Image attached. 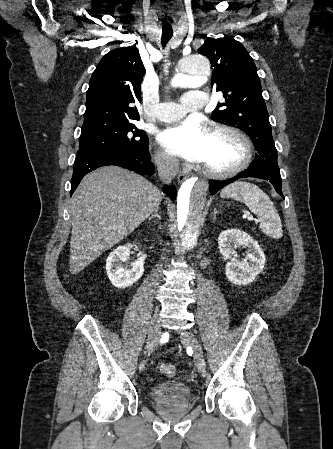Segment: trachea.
<instances>
[{"label": "trachea", "mask_w": 333, "mask_h": 449, "mask_svg": "<svg viewBox=\"0 0 333 449\" xmlns=\"http://www.w3.org/2000/svg\"><path fill=\"white\" fill-rule=\"evenodd\" d=\"M173 36V29L171 27H163L162 28V46L165 47L167 45V43L169 42V40L172 38Z\"/></svg>", "instance_id": "3493384b"}]
</instances>
